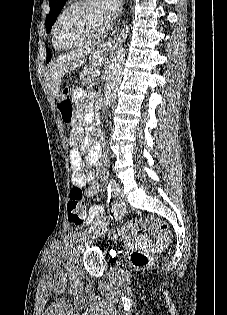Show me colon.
<instances>
[{"mask_svg":"<svg viewBox=\"0 0 227 315\" xmlns=\"http://www.w3.org/2000/svg\"><path fill=\"white\" fill-rule=\"evenodd\" d=\"M58 107L62 119L66 123L73 120L74 106L69 96L68 88L62 90L58 98ZM68 218L74 225L80 226L87 221V212L83 201V190L80 186L74 187L69 193L67 204ZM148 224L154 230L162 242L168 243L170 239L168 225L165 221L156 217H150ZM147 231L146 223L142 220H131L127 222L121 234L124 236H142ZM117 235V232L111 231L110 236ZM132 263L138 267H144L152 261V255L148 251L135 250L131 255Z\"/></svg>","mask_w":227,"mask_h":315,"instance_id":"5ec220e1","label":"colon"}]
</instances>
